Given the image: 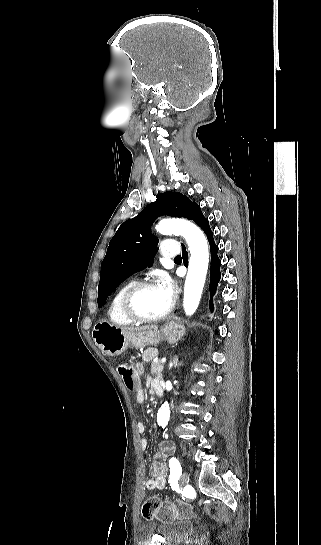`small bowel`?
I'll use <instances>...</instances> for the list:
<instances>
[{"label": "small bowel", "instance_id": "obj_1", "mask_svg": "<svg viewBox=\"0 0 321 545\" xmlns=\"http://www.w3.org/2000/svg\"><path fill=\"white\" fill-rule=\"evenodd\" d=\"M147 383L152 386L156 391L157 388L161 389L160 381L157 379H148ZM136 400L138 403H143L145 400L144 392L141 389H138L136 392ZM137 430L139 433L145 432V425L142 422L137 423ZM140 446L142 450H145L148 446V441L146 438H142L140 441ZM173 451V446L168 441H162L159 444V450L156 456V459L152 462L150 466L151 478L148 479L145 483V487L148 490L154 489H163L166 483V474L167 470L162 462L165 460Z\"/></svg>", "mask_w": 321, "mask_h": 545}]
</instances>
